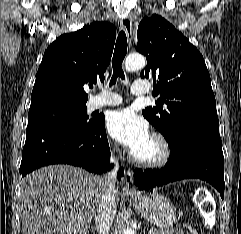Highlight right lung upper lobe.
<instances>
[{"label":"right lung upper lobe","instance_id":"1","mask_svg":"<svg viewBox=\"0 0 241 234\" xmlns=\"http://www.w3.org/2000/svg\"><path fill=\"white\" fill-rule=\"evenodd\" d=\"M115 38V27L108 22H93L58 37L44 53L31 105L55 100L86 104L84 85L104 81Z\"/></svg>","mask_w":241,"mask_h":234}]
</instances>
